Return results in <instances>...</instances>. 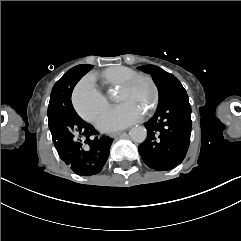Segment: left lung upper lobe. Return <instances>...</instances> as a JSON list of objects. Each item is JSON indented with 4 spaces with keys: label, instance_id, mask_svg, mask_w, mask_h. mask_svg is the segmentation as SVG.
<instances>
[{
    "label": "left lung upper lobe",
    "instance_id": "left-lung-upper-lobe-1",
    "mask_svg": "<svg viewBox=\"0 0 241 241\" xmlns=\"http://www.w3.org/2000/svg\"><path fill=\"white\" fill-rule=\"evenodd\" d=\"M138 69L151 74L158 88L159 103L168 99L171 95L186 91L180 81L172 74L154 65H145Z\"/></svg>",
    "mask_w": 241,
    "mask_h": 241
}]
</instances>
